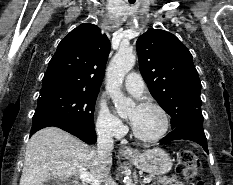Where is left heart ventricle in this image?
<instances>
[{"label": "left heart ventricle", "mask_w": 233, "mask_h": 185, "mask_svg": "<svg viewBox=\"0 0 233 185\" xmlns=\"http://www.w3.org/2000/svg\"><path fill=\"white\" fill-rule=\"evenodd\" d=\"M133 121V128L144 137H153L163 128L164 120L161 113L155 108L135 107L129 112Z\"/></svg>", "instance_id": "b2bd125f"}]
</instances>
